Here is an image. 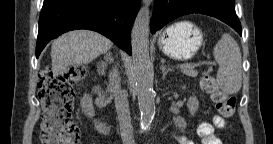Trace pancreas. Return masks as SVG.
I'll use <instances>...</instances> for the list:
<instances>
[{
    "instance_id": "1",
    "label": "pancreas",
    "mask_w": 273,
    "mask_h": 144,
    "mask_svg": "<svg viewBox=\"0 0 273 144\" xmlns=\"http://www.w3.org/2000/svg\"><path fill=\"white\" fill-rule=\"evenodd\" d=\"M182 72L189 77H196L198 72L190 68H183Z\"/></svg>"
}]
</instances>
